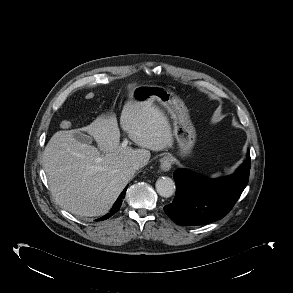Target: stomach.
<instances>
[{"label": "stomach", "mask_w": 293, "mask_h": 293, "mask_svg": "<svg viewBox=\"0 0 293 293\" xmlns=\"http://www.w3.org/2000/svg\"><path fill=\"white\" fill-rule=\"evenodd\" d=\"M131 100L139 104L158 102L164 107L173 121V134L179 144L180 155L184 157L190 154L195 144L196 131L182 100L167 88L149 84L135 86Z\"/></svg>", "instance_id": "0dacf381"}]
</instances>
